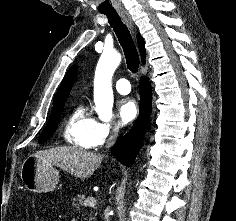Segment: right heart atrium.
<instances>
[{"label":"right heart atrium","instance_id":"1","mask_svg":"<svg viewBox=\"0 0 236 221\" xmlns=\"http://www.w3.org/2000/svg\"><path fill=\"white\" fill-rule=\"evenodd\" d=\"M120 130V126L111 121H96L93 131L92 144L93 147L104 145L110 140L116 138Z\"/></svg>","mask_w":236,"mask_h":221}]
</instances>
